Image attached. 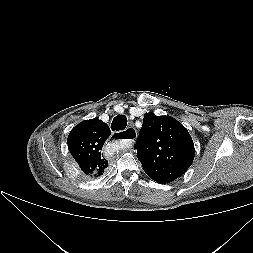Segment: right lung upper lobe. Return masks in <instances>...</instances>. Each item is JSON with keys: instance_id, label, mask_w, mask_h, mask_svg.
I'll return each mask as SVG.
<instances>
[{"instance_id": "1", "label": "right lung upper lobe", "mask_w": 253, "mask_h": 253, "mask_svg": "<svg viewBox=\"0 0 253 253\" xmlns=\"http://www.w3.org/2000/svg\"><path fill=\"white\" fill-rule=\"evenodd\" d=\"M111 135L110 128L98 118L76 125L67 138L68 147L81 170L91 176H100L108 167L101 150Z\"/></svg>"}]
</instances>
